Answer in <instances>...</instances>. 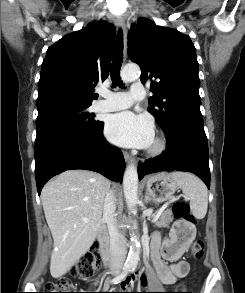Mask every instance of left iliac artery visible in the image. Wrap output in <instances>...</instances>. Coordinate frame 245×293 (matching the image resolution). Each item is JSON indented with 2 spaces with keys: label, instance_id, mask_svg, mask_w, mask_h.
Wrapping results in <instances>:
<instances>
[{
  "label": "left iliac artery",
  "instance_id": "44dca946",
  "mask_svg": "<svg viewBox=\"0 0 245 293\" xmlns=\"http://www.w3.org/2000/svg\"><path fill=\"white\" fill-rule=\"evenodd\" d=\"M135 270V268H132L131 271L133 272Z\"/></svg>",
  "mask_w": 245,
  "mask_h": 293
}]
</instances>
